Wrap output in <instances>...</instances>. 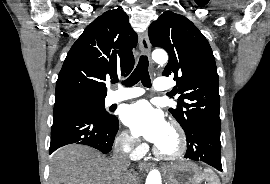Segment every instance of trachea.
Segmentation results:
<instances>
[{"label":"trachea","mask_w":270,"mask_h":184,"mask_svg":"<svg viewBox=\"0 0 270 184\" xmlns=\"http://www.w3.org/2000/svg\"><path fill=\"white\" fill-rule=\"evenodd\" d=\"M141 81L145 87H151V80L148 72V58L143 55L140 57L137 67L132 72V74L127 78L123 84L126 87H131ZM118 80H114L113 83H117Z\"/></svg>","instance_id":"1"}]
</instances>
